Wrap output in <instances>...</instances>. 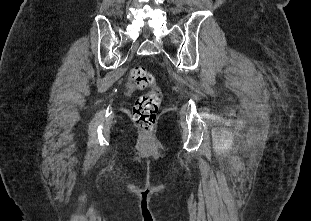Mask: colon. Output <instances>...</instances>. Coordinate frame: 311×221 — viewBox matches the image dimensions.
Instances as JSON below:
<instances>
[{"instance_id": "1", "label": "colon", "mask_w": 311, "mask_h": 221, "mask_svg": "<svg viewBox=\"0 0 311 221\" xmlns=\"http://www.w3.org/2000/svg\"><path fill=\"white\" fill-rule=\"evenodd\" d=\"M136 89H148L149 92L136 99L132 113L133 123L141 130H150L156 123L162 95L154 77L145 67L132 68L128 76L127 92Z\"/></svg>"}]
</instances>
